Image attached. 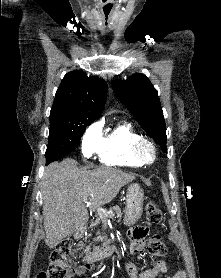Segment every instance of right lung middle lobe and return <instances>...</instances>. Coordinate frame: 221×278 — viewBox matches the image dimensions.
<instances>
[{
  "label": "right lung middle lobe",
  "instance_id": "right-lung-middle-lobe-1",
  "mask_svg": "<svg viewBox=\"0 0 221 278\" xmlns=\"http://www.w3.org/2000/svg\"><path fill=\"white\" fill-rule=\"evenodd\" d=\"M89 124L90 122L85 118L68 119L50 116L49 143L45 153L46 162L55 161L76 149Z\"/></svg>",
  "mask_w": 221,
  "mask_h": 278
}]
</instances>
